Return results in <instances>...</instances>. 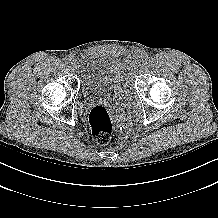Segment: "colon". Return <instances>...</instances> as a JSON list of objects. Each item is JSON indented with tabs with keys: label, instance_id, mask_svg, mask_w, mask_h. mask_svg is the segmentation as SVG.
<instances>
[{
	"label": "colon",
	"instance_id": "colon-1",
	"mask_svg": "<svg viewBox=\"0 0 218 218\" xmlns=\"http://www.w3.org/2000/svg\"><path fill=\"white\" fill-rule=\"evenodd\" d=\"M89 124L92 136L98 144H106L110 141L113 132V122L105 106L96 105L91 109Z\"/></svg>",
	"mask_w": 218,
	"mask_h": 218
}]
</instances>
